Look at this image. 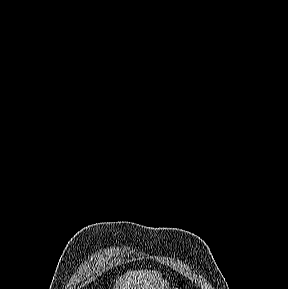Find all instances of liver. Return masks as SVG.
<instances>
[{
  "label": "liver",
  "mask_w": 288,
  "mask_h": 289,
  "mask_svg": "<svg viewBox=\"0 0 288 289\" xmlns=\"http://www.w3.org/2000/svg\"><path fill=\"white\" fill-rule=\"evenodd\" d=\"M169 282L155 270L127 271L118 278L114 289H167Z\"/></svg>",
  "instance_id": "1"
}]
</instances>
